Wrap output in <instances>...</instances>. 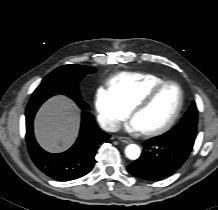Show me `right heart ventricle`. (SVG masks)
Segmentation results:
<instances>
[{"label":"right heart ventricle","mask_w":218,"mask_h":210,"mask_svg":"<svg viewBox=\"0 0 218 210\" xmlns=\"http://www.w3.org/2000/svg\"><path fill=\"white\" fill-rule=\"evenodd\" d=\"M165 79L151 73H120L108 82L109 89L131 110L155 85Z\"/></svg>","instance_id":"e07e8e85"}]
</instances>
